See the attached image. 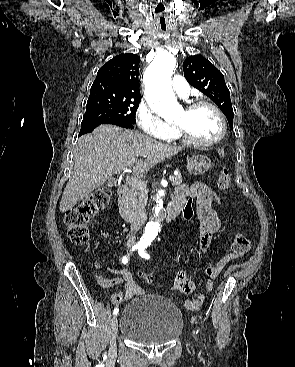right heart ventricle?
I'll use <instances>...</instances> for the list:
<instances>
[{"label": "right heart ventricle", "mask_w": 295, "mask_h": 367, "mask_svg": "<svg viewBox=\"0 0 295 367\" xmlns=\"http://www.w3.org/2000/svg\"><path fill=\"white\" fill-rule=\"evenodd\" d=\"M179 138V134L178 132L175 130V132L173 133V135L169 138V139H177Z\"/></svg>", "instance_id": "obj_1"}]
</instances>
